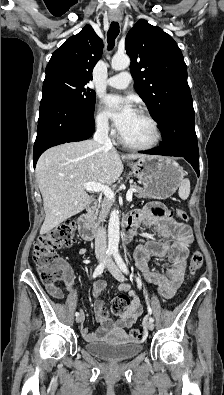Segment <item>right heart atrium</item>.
<instances>
[{
	"mask_svg": "<svg viewBox=\"0 0 224 395\" xmlns=\"http://www.w3.org/2000/svg\"><path fill=\"white\" fill-rule=\"evenodd\" d=\"M94 123L98 131L104 134L112 133V126L106 113L97 107L94 114Z\"/></svg>",
	"mask_w": 224,
	"mask_h": 395,
	"instance_id": "1",
	"label": "right heart atrium"
}]
</instances>
